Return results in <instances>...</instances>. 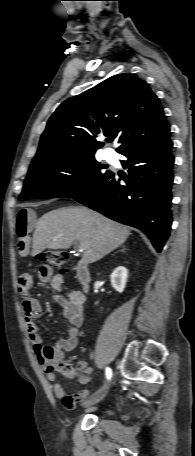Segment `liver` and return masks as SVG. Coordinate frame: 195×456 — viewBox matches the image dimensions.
I'll return each instance as SVG.
<instances>
[{
    "instance_id": "obj_1",
    "label": "liver",
    "mask_w": 195,
    "mask_h": 456,
    "mask_svg": "<svg viewBox=\"0 0 195 456\" xmlns=\"http://www.w3.org/2000/svg\"><path fill=\"white\" fill-rule=\"evenodd\" d=\"M128 227L85 207H65L44 214L33 235L32 255L45 249H68L78 241L86 245L83 261L94 263L122 245Z\"/></svg>"
}]
</instances>
